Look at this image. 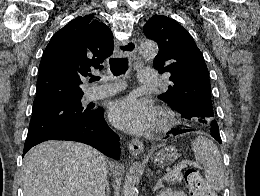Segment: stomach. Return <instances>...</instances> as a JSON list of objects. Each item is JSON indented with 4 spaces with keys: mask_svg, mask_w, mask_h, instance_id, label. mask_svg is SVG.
Wrapping results in <instances>:
<instances>
[{
    "mask_svg": "<svg viewBox=\"0 0 260 196\" xmlns=\"http://www.w3.org/2000/svg\"><path fill=\"white\" fill-rule=\"evenodd\" d=\"M178 158V152L175 146H165L161 150H157L153 156V162L157 166H170Z\"/></svg>",
    "mask_w": 260,
    "mask_h": 196,
    "instance_id": "0dacf381",
    "label": "stomach"
}]
</instances>
